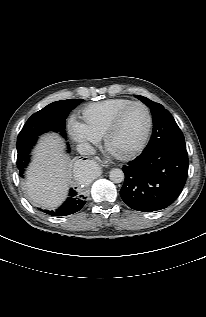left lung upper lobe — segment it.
<instances>
[{"label":"left lung upper lobe","mask_w":206,"mask_h":317,"mask_svg":"<svg viewBox=\"0 0 206 317\" xmlns=\"http://www.w3.org/2000/svg\"><path fill=\"white\" fill-rule=\"evenodd\" d=\"M135 97L148 105L153 115V133L145 150L168 145L186 148L184 136L170 112L161 104L155 103L146 97L139 95Z\"/></svg>","instance_id":"1"}]
</instances>
